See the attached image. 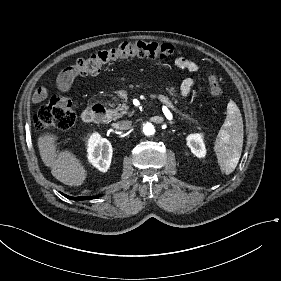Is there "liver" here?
Returning <instances> with one entry per match:
<instances>
[{"label": "liver", "mask_w": 281, "mask_h": 281, "mask_svg": "<svg viewBox=\"0 0 281 281\" xmlns=\"http://www.w3.org/2000/svg\"><path fill=\"white\" fill-rule=\"evenodd\" d=\"M59 135L44 131L37 136V148L41 161L51 170V175L67 186H82L88 170L71 150H59Z\"/></svg>", "instance_id": "liver-1"}]
</instances>
